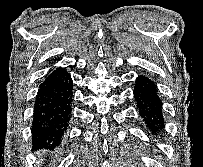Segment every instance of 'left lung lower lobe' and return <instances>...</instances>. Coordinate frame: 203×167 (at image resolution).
Segmentation results:
<instances>
[{"label":"left lung lower lobe","mask_w":203,"mask_h":167,"mask_svg":"<svg viewBox=\"0 0 203 167\" xmlns=\"http://www.w3.org/2000/svg\"><path fill=\"white\" fill-rule=\"evenodd\" d=\"M134 85L136 106L147 131L153 136L161 135L165 121L157 86L144 75H139Z\"/></svg>","instance_id":"obj_1"}]
</instances>
